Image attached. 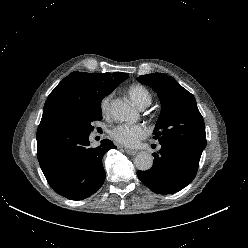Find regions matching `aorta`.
Wrapping results in <instances>:
<instances>
[{
	"instance_id": "762f6f07",
	"label": "aorta",
	"mask_w": 248,
	"mask_h": 248,
	"mask_svg": "<svg viewBox=\"0 0 248 248\" xmlns=\"http://www.w3.org/2000/svg\"><path fill=\"white\" fill-rule=\"evenodd\" d=\"M110 114L116 121L132 122L137 117L136 109L123 100H114L111 103ZM153 157L147 152H139L134 158V165L138 170L147 171L152 167Z\"/></svg>"
}]
</instances>
